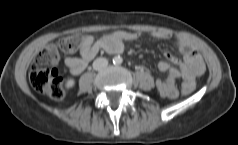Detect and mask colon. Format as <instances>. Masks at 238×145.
I'll use <instances>...</instances> for the list:
<instances>
[{
    "label": "colon",
    "mask_w": 238,
    "mask_h": 145,
    "mask_svg": "<svg viewBox=\"0 0 238 145\" xmlns=\"http://www.w3.org/2000/svg\"><path fill=\"white\" fill-rule=\"evenodd\" d=\"M83 36L72 35L60 39L56 43L47 45L35 58V63L30 70L29 80L32 87L54 100H61L65 95L63 80L60 77L56 66L58 65L61 53H72L79 48ZM194 87L183 83L181 93L188 95Z\"/></svg>",
    "instance_id": "obj_1"
}]
</instances>
